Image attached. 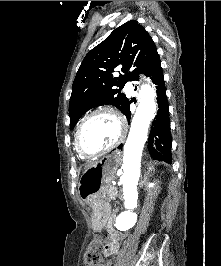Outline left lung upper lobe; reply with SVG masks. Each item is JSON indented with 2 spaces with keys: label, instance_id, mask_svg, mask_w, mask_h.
Returning a JSON list of instances; mask_svg holds the SVG:
<instances>
[{
  "label": "left lung upper lobe",
  "instance_id": "left-lung-upper-lobe-1",
  "mask_svg": "<svg viewBox=\"0 0 221 266\" xmlns=\"http://www.w3.org/2000/svg\"><path fill=\"white\" fill-rule=\"evenodd\" d=\"M159 62L152 38L136 20L116 28L89 51L78 69L69 104L71 128L96 106L111 104L123 112L129 101L120 92L125 83L138 80L140 73L146 75ZM116 67L122 72L119 77L112 76ZM133 67L136 68L130 71Z\"/></svg>",
  "mask_w": 221,
  "mask_h": 266
}]
</instances>
